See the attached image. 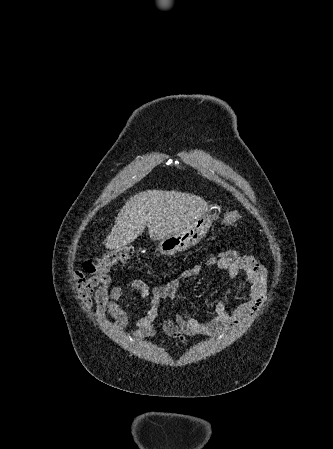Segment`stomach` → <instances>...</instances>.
Listing matches in <instances>:
<instances>
[{"mask_svg": "<svg viewBox=\"0 0 333 449\" xmlns=\"http://www.w3.org/2000/svg\"><path fill=\"white\" fill-rule=\"evenodd\" d=\"M217 218L205 212L202 216L191 222L176 234H170L159 240L158 250L163 255H171L182 252L199 243L208 232L212 221Z\"/></svg>", "mask_w": 333, "mask_h": 449, "instance_id": "0dacf381", "label": "stomach"}]
</instances>
